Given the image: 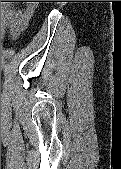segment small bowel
I'll return each instance as SVG.
<instances>
[{
  "instance_id": "c3829d8e",
  "label": "small bowel",
  "mask_w": 121,
  "mask_h": 169,
  "mask_svg": "<svg viewBox=\"0 0 121 169\" xmlns=\"http://www.w3.org/2000/svg\"><path fill=\"white\" fill-rule=\"evenodd\" d=\"M33 15L34 9L32 7L6 13V27L10 31V39L16 40L22 35Z\"/></svg>"
}]
</instances>
